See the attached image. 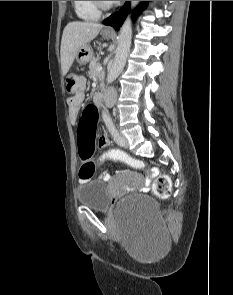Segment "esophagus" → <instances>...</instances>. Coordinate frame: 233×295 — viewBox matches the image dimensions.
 Returning <instances> with one entry per match:
<instances>
[{
  "label": "esophagus",
  "instance_id": "obj_1",
  "mask_svg": "<svg viewBox=\"0 0 233 295\" xmlns=\"http://www.w3.org/2000/svg\"><path fill=\"white\" fill-rule=\"evenodd\" d=\"M105 31H107V32H114V28L111 27V26H108V27L105 28Z\"/></svg>",
  "mask_w": 233,
  "mask_h": 295
}]
</instances>
